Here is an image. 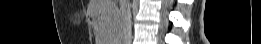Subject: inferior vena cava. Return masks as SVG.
Masks as SVG:
<instances>
[{"label": "inferior vena cava", "instance_id": "602c4592", "mask_svg": "<svg viewBox=\"0 0 261 44\" xmlns=\"http://www.w3.org/2000/svg\"><path fill=\"white\" fill-rule=\"evenodd\" d=\"M131 34H132V30H131V12L130 9H127L126 12V18H125V27H124V39L125 41H129L131 39Z\"/></svg>", "mask_w": 261, "mask_h": 44}]
</instances>
